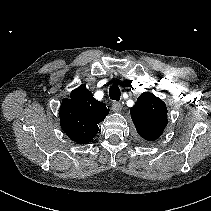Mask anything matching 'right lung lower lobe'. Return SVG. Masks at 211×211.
<instances>
[{
	"mask_svg": "<svg viewBox=\"0 0 211 211\" xmlns=\"http://www.w3.org/2000/svg\"><path fill=\"white\" fill-rule=\"evenodd\" d=\"M61 115L63 116V122L67 121V114L65 108L62 106Z\"/></svg>",
	"mask_w": 211,
	"mask_h": 211,
	"instance_id": "98d812e1",
	"label": "right lung lower lobe"
}]
</instances>
